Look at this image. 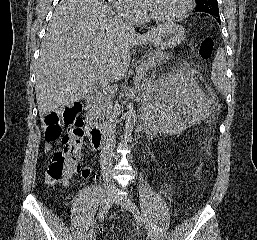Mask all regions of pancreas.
<instances>
[{
    "label": "pancreas",
    "mask_w": 257,
    "mask_h": 240,
    "mask_svg": "<svg viewBox=\"0 0 257 240\" xmlns=\"http://www.w3.org/2000/svg\"><path fill=\"white\" fill-rule=\"evenodd\" d=\"M169 59V56L162 53H157L148 59L144 60L141 65H139L136 69L137 71V79H145L149 76L151 70H154L157 65H159L162 61ZM109 95L106 92H98L96 97L92 99L89 107L90 109L102 117L108 107L109 104Z\"/></svg>",
    "instance_id": "obj_1"
}]
</instances>
